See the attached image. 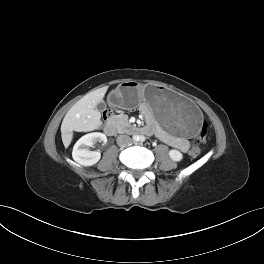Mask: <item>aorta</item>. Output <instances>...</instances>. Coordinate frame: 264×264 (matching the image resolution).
<instances>
[{"instance_id":"obj_1","label":"aorta","mask_w":264,"mask_h":264,"mask_svg":"<svg viewBox=\"0 0 264 264\" xmlns=\"http://www.w3.org/2000/svg\"><path fill=\"white\" fill-rule=\"evenodd\" d=\"M134 140H135V141H140V140H141V136L136 135V136L134 137Z\"/></svg>"}]
</instances>
